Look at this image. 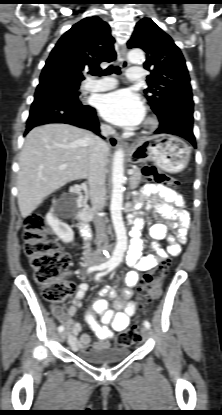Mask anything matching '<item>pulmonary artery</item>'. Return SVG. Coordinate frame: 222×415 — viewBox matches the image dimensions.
I'll return each mask as SVG.
<instances>
[{"label": "pulmonary artery", "mask_w": 222, "mask_h": 415, "mask_svg": "<svg viewBox=\"0 0 222 415\" xmlns=\"http://www.w3.org/2000/svg\"><path fill=\"white\" fill-rule=\"evenodd\" d=\"M127 78L131 82H138L142 78L141 67H131L127 72ZM116 86V81L113 79L105 78L100 81H90L83 85L84 92H101L112 89Z\"/></svg>", "instance_id": "e3ab8cb5"}]
</instances>
